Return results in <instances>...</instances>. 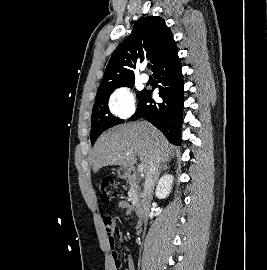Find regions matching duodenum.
<instances>
[{"mask_svg": "<svg viewBox=\"0 0 267 270\" xmlns=\"http://www.w3.org/2000/svg\"><path fill=\"white\" fill-rule=\"evenodd\" d=\"M126 176L127 178L132 181V182H137L138 181V175L134 169H128L126 171ZM136 211L139 215L140 218H144L146 216L145 214V206L142 201H139L136 204Z\"/></svg>", "mask_w": 267, "mask_h": 270, "instance_id": "410a0bca", "label": "duodenum"}]
</instances>
